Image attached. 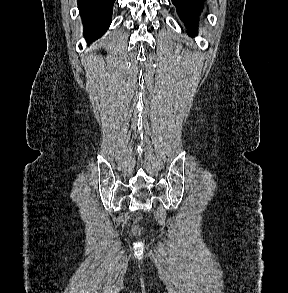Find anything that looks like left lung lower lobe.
Listing matches in <instances>:
<instances>
[{
    "instance_id": "obj_1",
    "label": "left lung lower lobe",
    "mask_w": 288,
    "mask_h": 293,
    "mask_svg": "<svg viewBox=\"0 0 288 293\" xmlns=\"http://www.w3.org/2000/svg\"><path fill=\"white\" fill-rule=\"evenodd\" d=\"M203 2L204 0H172L178 15L188 26L191 36L196 34Z\"/></svg>"
}]
</instances>
